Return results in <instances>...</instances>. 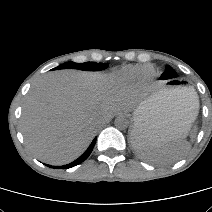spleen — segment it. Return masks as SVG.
<instances>
[{"label":"spleen","instance_id":"spleen-1","mask_svg":"<svg viewBox=\"0 0 212 212\" xmlns=\"http://www.w3.org/2000/svg\"><path fill=\"white\" fill-rule=\"evenodd\" d=\"M170 98L179 103L193 119L199 107L198 95L192 87H182L170 92ZM135 133H137L142 147H150L149 161L155 163H168L181 158L189 149L190 144L180 136L166 138L161 133L152 131L144 117H135Z\"/></svg>","mask_w":212,"mask_h":212}]
</instances>
